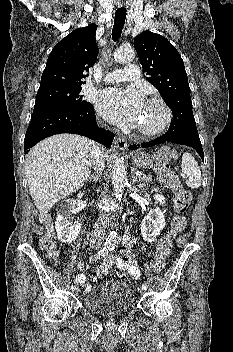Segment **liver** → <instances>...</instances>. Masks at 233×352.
I'll return each instance as SVG.
<instances>
[{"label": "liver", "instance_id": "obj_1", "mask_svg": "<svg viewBox=\"0 0 233 352\" xmlns=\"http://www.w3.org/2000/svg\"><path fill=\"white\" fill-rule=\"evenodd\" d=\"M96 144L75 134H58L35 145L25 173L30 195L41 217L61 199L79 190L91 172ZM107 157L106 152H102Z\"/></svg>", "mask_w": 233, "mask_h": 352}]
</instances>
